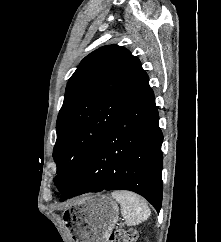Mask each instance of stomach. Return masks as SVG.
<instances>
[{
    "label": "stomach",
    "mask_w": 221,
    "mask_h": 242,
    "mask_svg": "<svg viewBox=\"0 0 221 242\" xmlns=\"http://www.w3.org/2000/svg\"><path fill=\"white\" fill-rule=\"evenodd\" d=\"M70 208L73 242H107L118 218L117 203L108 195H85Z\"/></svg>",
    "instance_id": "1"
}]
</instances>
